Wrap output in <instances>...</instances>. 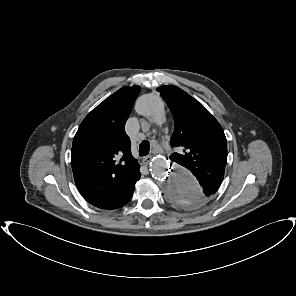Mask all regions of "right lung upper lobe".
<instances>
[{"mask_svg": "<svg viewBox=\"0 0 296 296\" xmlns=\"http://www.w3.org/2000/svg\"><path fill=\"white\" fill-rule=\"evenodd\" d=\"M139 86L124 87L92 110L73 139L71 166L76 186L92 205L116 209L130 201L140 179L124 126Z\"/></svg>", "mask_w": 296, "mask_h": 296, "instance_id": "obj_1", "label": "right lung upper lobe"}]
</instances>
